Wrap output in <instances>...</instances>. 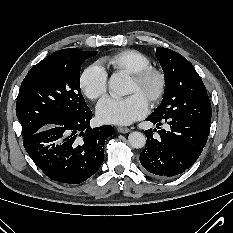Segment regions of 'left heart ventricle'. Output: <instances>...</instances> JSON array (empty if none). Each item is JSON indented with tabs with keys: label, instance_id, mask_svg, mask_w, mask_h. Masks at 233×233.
I'll list each match as a JSON object with an SVG mask.
<instances>
[{
	"label": "left heart ventricle",
	"instance_id": "left-heart-ventricle-1",
	"mask_svg": "<svg viewBox=\"0 0 233 233\" xmlns=\"http://www.w3.org/2000/svg\"><path fill=\"white\" fill-rule=\"evenodd\" d=\"M156 87L157 82L154 78H149L142 84H138L131 79L128 94L137 93L148 102L155 93Z\"/></svg>",
	"mask_w": 233,
	"mask_h": 233
}]
</instances>
